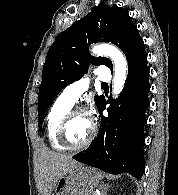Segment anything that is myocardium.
I'll list each match as a JSON object with an SVG mask.
<instances>
[{"label":"myocardium","mask_w":178,"mask_h":195,"mask_svg":"<svg viewBox=\"0 0 178 195\" xmlns=\"http://www.w3.org/2000/svg\"><path fill=\"white\" fill-rule=\"evenodd\" d=\"M80 114H88L87 111L84 108L76 107V108H71L66 115L64 116L63 120L61 121L58 131H57V139L59 143L65 147L67 150L70 151H79L91 144L93 139L96 136V125L92 122L91 126V132L89 137L81 144L79 145H72L68 142L67 140V129L71 123V121Z\"/></svg>","instance_id":"f54148a6"}]
</instances>
